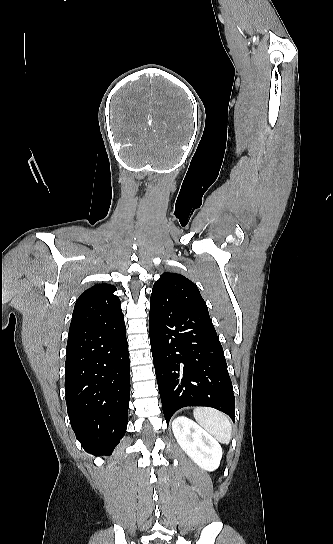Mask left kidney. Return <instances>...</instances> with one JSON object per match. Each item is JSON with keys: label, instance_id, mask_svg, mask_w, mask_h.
Masks as SVG:
<instances>
[{"label": "left kidney", "instance_id": "left-kidney-1", "mask_svg": "<svg viewBox=\"0 0 333 544\" xmlns=\"http://www.w3.org/2000/svg\"><path fill=\"white\" fill-rule=\"evenodd\" d=\"M172 430L180 447L199 467L207 471L219 467L222 448L207 431L184 416L172 422Z\"/></svg>", "mask_w": 333, "mask_h": 544}]
</instances>
